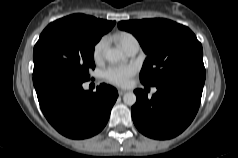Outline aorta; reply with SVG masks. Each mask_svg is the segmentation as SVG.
<instances>
[{
    "label": "aorta",
    "mask_w": 238,
    "mask_h": 158,
    "mask_svg": "<svg viewBox=\"0 0 238 158\" xmlns=\"http://www.w3.org/2000/svg\"><path fill=\"white\" fill-rule=\"evenodd\" d=\"M105 58L108 62L115 63L124 58V54L121 50L116 48H109L105 52ZM136 95L133 92L124 94L123 101L126 105L132 106L136 103Z\"/></svg>",
    "instance_id": "762f6f07"
}]
</instances>
